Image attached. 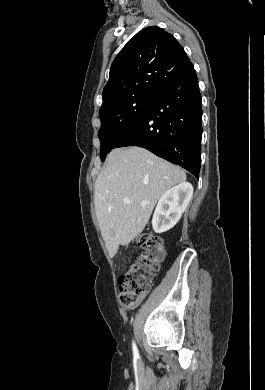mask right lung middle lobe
I'll return each instance as SVG.
<instances>
[{"instance_id":"dd1d6c3e","label":"right lung middle lobe","mask_w":265,"mask_h":390,"mask_svg":"<svg viewBox=\"0 0 265 390\" xmlns=\"http://www.w3.org/2000/svg\"><path fill=\"white\" fill-rule=\"evenodd\" d=\"M154 97L153 94H137L115 102L99 111L101 128L98 135L101 142L100 156L102 161L146 112Z\"/></svg>"}]
</instances>
